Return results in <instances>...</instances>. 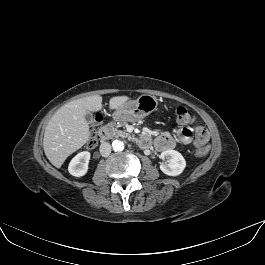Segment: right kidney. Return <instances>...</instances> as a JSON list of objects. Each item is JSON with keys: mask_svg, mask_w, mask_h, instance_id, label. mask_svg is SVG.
Instances as JSON below:
<instances>
[{"mask_svg": "<svg viewBox=\"0 0 265 265\" xmlns=\"http://www.w3.org/2000/svg\"><path fill=\"white\" fill-rule=\"evenodd\" d=\"M90 156L88 151L78 153L69 163V173L75 177L84 176L88 171Z\"/></svg>", "mask_w": 265, "mask_h": 265, "instance_id": "right-kidney-1", "label": "right kidney"}]
</instances>
